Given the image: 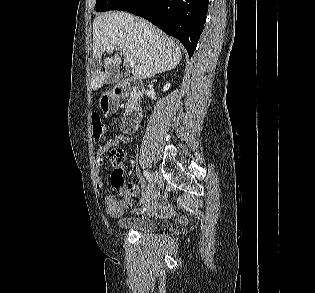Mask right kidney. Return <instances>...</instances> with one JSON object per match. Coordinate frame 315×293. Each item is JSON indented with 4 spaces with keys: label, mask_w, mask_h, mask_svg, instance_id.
I'll list each match as a JSON object with an SVG mask.
<instances>
[{
    "label": "right kidney",
    "mask_w": 315,
    "mask_h": 293,
    "mask_svg": "<svg viewBox=\"0 0 315 293\" xmlns=\"http://www.w3.org/2000/svg\"><path fill=\"white\" fill-rule=\"evenodd\" d=\"M170 83H167L164 87H163V91H167L170 88Z\"/></svg>",
    "instance_id": "right-kidney-1"
}]
</instances>
